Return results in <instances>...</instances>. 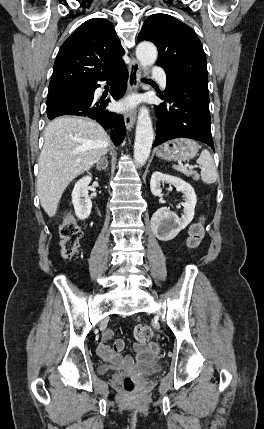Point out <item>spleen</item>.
Masks as SVG:
<instances>
[{
    "label": "spleen",
    "mask_w": 264,
    "mask_h": 429,
    "mask_svg": "<svg viewBox=\"0 0 264 429\" xmlns=\"http://www.w3.org/2000/svg\"><path fill=\"white\" fill-rule=\"evenodd\" d=\"M197 163L201 166V180L206 184H212L218 179V172L214 164V160L210 152L206 149L202 150ZM174 169L179 172H182L185 175H190L191 172L181 165H174Z\"/></svg>",
    "instance_id": "spleen-1"
}]
</instances>
